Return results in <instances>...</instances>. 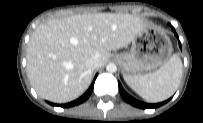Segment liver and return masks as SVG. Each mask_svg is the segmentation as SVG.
Returning a JSON list of instances; mask_svg holds the SVG:
<instances>
[{
    "label": "liver",
    "mask_w": 203,
    "mask_h": 123,
    "mask_svg": "<svg viewBox=\"0 0 203 123\" xmlns=\"http://www.w3.org/2000/svg\"><path fill=\"white\" fill-rule=\"evenodd\" d=\"M146 27L141 18L124 13L50 19L35 29L27 45L28 79L41 98L75 100L92 81L86 60L96 57L104 66L112 50L127 46Z\"/></svg>",
    "instance_id": "6515ba94"
}]
</instances>
